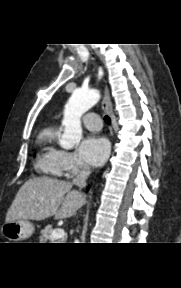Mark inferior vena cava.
<instances>
[{
    "mask_svg": "<svg viewBox=\"0 0 181 288\" xmlns=\"http://www.w3.org/2000/svg\"><path fill=\"white\" fill-rule=\"evenodd\" d=\"M91 171L88 166H83L78 175L73 179V184L79 188H84L86 186V180L89 177Z\"/></svg>",
    "mask_w": 181,
    "mask_h": 288,
    "instance_id": "obj_1",
    "label": "inferior vena cava"
}]
</instances>
